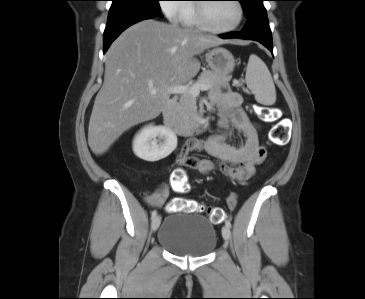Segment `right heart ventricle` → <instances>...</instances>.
Instances as JSON below:
<instances>
[{"mask_svg": "<svg viewBox=\"0 0 365 299\" xmlns=\"http://www.w3.org/2000/svg\"><path fill=\"white\" fill-rule=\"evenodd\" d=\"M184 7L185 11L181 19L183 25L187 27L201 28L197 21L196 6L193 4H186Z\"/></svg>", "mask_w": 365, "mask_h": 299, "instance_id": "e07e8e85", "label": "right heart ventricle"}]
</instances>
